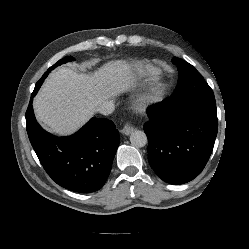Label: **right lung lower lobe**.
<instances>
[{
	"mask_svg": "<svg viewBox=\"0 0 249 249\" xmlns=\"http://www.w3.org/2000/svg\"><path fill=\"white\" fill-rule=\"evenodd\" d=\"M43 81L36 83L26 111V129L31 145L48 175L60 186L88 193L102 188L119 145V133L112 121L92 118L78 132L56 137L37 123L33 97Z\"/></svg>",
	"mask_w": 249,
	"mask_h": 249,
	"instance_id": "98d812e1",
	"label": "right lung lower lobe"
}]
</instances>
